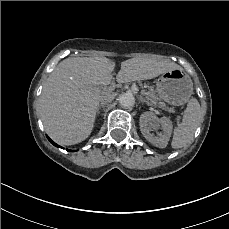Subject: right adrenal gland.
Here are the masks:
<instances>
[{
	"mask_svg": "<svg viewBox=\"0 0 229 229\" xmlns=\"http://www.w3.org/2000/svg\"><path fill=\"white\" fill-rule=\"evenodd\" d=\"M102 106V108H105V106L104 105H101ZM101 106H99L98 108H97V114H99L100 113V109H101Z\"/></svg>",
	"mask_w": 229,
	"mask_h": 229,
	"instance_id": "1",
	"label": "right adrenal gland"
}]
</instances>
